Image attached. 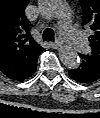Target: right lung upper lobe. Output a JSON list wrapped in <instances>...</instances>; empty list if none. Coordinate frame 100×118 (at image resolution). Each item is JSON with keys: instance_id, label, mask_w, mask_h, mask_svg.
I'll use <instances>...</instances> for the list:
<instances>
[{"instance_id": "right-lung-upper-lobe-1", "label": "right lung upper lobe", "mask_w": 100, "mask_h": 118, "mask_svg": "<svg viewBox=\"0 0 100 118\" xmlns=\"http://www.w3.org/2000/svg\"><path fill=\"white\" fill-rule=\"evenodd\" d=\"M28 2L0 0V70L14 80L25 76L42 52L24 14Z\"/></svg>"}]
</instances>
